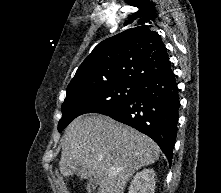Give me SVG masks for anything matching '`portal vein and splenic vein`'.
Segmentation results:
<instances>
[{
  "mask_svg": "<svg viewBox=\"0 0 221 193\" xmlns=\"http://www.w3.org/2000/svg\"><path fill=\"white\" fill-rule=\"evenodd\" d=\"M110 170H114V169L111 168ZM120 170H121V169H117L116 171L118 172V171H120Z\"/></svg>",
  "mask_w": 221,
  "mask_h": 193,
  "instance_id": "18ae733b",
  "label": "portal vein and splenic vein"
}]
</instances>
